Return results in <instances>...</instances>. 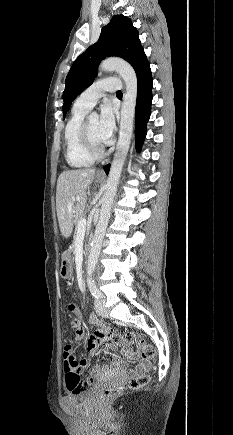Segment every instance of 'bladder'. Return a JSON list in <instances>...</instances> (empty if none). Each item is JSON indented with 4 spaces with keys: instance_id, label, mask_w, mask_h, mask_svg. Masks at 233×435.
<instances>
[{
    "instance_id": "31cf9c89",
    "label": "bladder",
    "mask_w": 233,
    "mask_h": 435,
    "mask_svg": "<svg viewBox=\"0 0 233 435\" xmlns=\"http://www.w3.org/2000/svg\"><path fill=\"white\" fill-rule=\"evenodd\" d=\"M99 384H100L99 382H93V383H90L88 388L82 392L72 393L70 391H67L66 393L69 397H71L75 400L88 401L95 396L96 390H97Z\"/></svg>"
}]
</instances>
